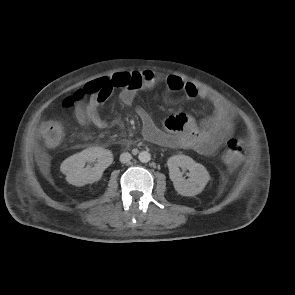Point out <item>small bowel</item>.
Segmentation results:
<instances>
[{"label": "small bowel", "mask_w": 295, "mask_h": 295, "mask_svg": "<svg viewBox=\"0 0 295 295\" xmlns=\"http://www.w3.org/2000/svg\"><path fill=\"white\" fill-rule=\"evenodd\" d=\"M132 74L139 77L140 83L137 86L122 89L120 100L125 105L133 104L141 91L163 82L169 92H180L188 98L205 101L213 111L212 115L201 123H197L193 117L185 113H176L167 117L160 128L152 121L145 108L137 106L136 113L143 122V136L146 140L165 147L189 149L201 155H211L234 132L235 124L229 107L207 90L199 88L192 82L184 81L176 75H165L151 70ZM100 80L102 79L83 86L92 90L90 99L87 103L79 101L75 106L74 116L82 128L95 126L103 129L109 124L102 118L101 110L111 92L92 89Z\"/></svg>", "instance_id": "c3829d8e"}]
</instances>
